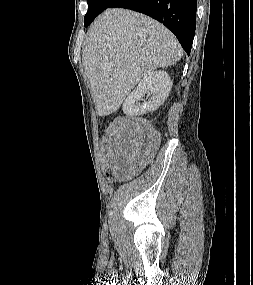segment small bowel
<instances>
[{"label": "small bowel", "mask_w": 253, "mask_h": 285, "mask_svg": "<svg viewBox=\"0 0 253 285\" xmlns=\"http://www.w3.org/2000/svg\"><path fill=\"white\" fill-rule=\"evenodd\" d=\"M117 151L125 156L130 155L133 152V145L129 142L122 143L117 146Z\"/></svg>", "instance_id": "1"}]
</instances>
